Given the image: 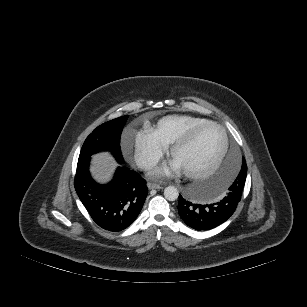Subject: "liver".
<instances>
[{
	"label": "liver",
	"mask_w": 307,
	"mask_h": 307,
	"mask_svg": "<svg viewBox=\"0 0 307 307\" xmlns=\"http://www.w3.org/2000/svg\"><path fill=\"white\" fill-rule=\"evenodd\" d=\"M116 165L108 153H101L93 156L91 171L97 181L106 182L111 178Z\"/></svg>",
	"instance_id": "obj_1"
}]
</instances>
